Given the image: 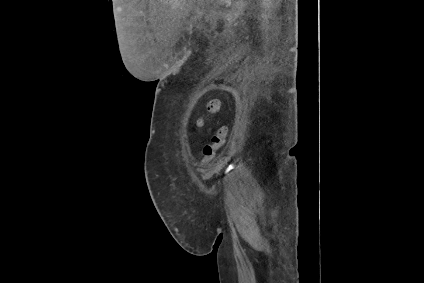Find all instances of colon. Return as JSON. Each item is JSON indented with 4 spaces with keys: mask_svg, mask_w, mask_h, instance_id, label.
<instances>
[{
    "mask_svg": "<svg viewBox=\"0 0 424 283\" xmlns=\"http://www.w3.org/2000/svg\"><path fill=\"white\" fill-rule=\"evenodd\" d=\"M219 111L220 101L217 99H211L206 104L203 115L197 118L196 125L200 127L203 125L205 120H212ZM226 137L227 130L225 127H219L212 132L210 143L206 144L203 148V165L207 164L214 158L216 152L224 145Z\"/></svg>",
    "mask_w": 424,
    "mask_h": 283,
    "instance_id": "5ec220e1",
    "label": "colon"
}]
</instances>
